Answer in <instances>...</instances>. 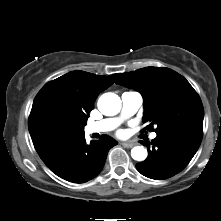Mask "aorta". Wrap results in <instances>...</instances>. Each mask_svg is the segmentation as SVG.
I'll use <instances>...</instances> for the list:
<instances>
[{"label":"aorta","instance_id":"aorta-1","mask_svg":"<svg viewBox=\"0 0 221 221\" xmlns=\"http://www.w3.org/2000/svg\"><path fill=\"white\" fill-rule=\"evenodd\" d=\"M98 109L103 115H116L121 109V99L114 93H104L98 100ZM131 157L136 161H144L147 150L143 146H136L131 150Z\"/></svg>","mask_w":221,"mask_h":221}]
</instances>
